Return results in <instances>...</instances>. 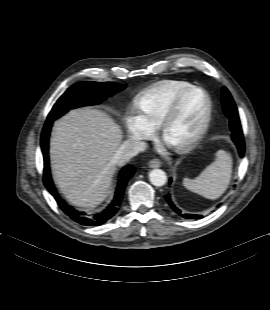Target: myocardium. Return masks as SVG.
I'll list each match as a JSON object with an SVG mask.
<instances>
[{
    "label": "myocardium",
    "instance_id": "myocardium-1",
    "mask_svg": "<svg viewBox=\"0 0 270 310\" xmlns=\"http://www.w3.org/2000/svg\"><path fill=\"white\" fill-rule=\"evenodd\" d=\"M194 93H199L204 97L206 101V106L201 123L197 128V130L190 136L183 138L182 140H180L179 142H177L172 146L175 151L180 153L188 152L189 150L194 148L207 133L213 109L212 99L209 93L205 89L197 86H191L188 89L184 90L179 95H177L175 99L172 101L167 111L165 112L161 122L158 125L160 137L164 139L168 127L170 126L173 119L177 115L181 105L189 95Z\"/></svg>",
    "mask_w": 270,
    "mask_h": 310
}]
</instances>
